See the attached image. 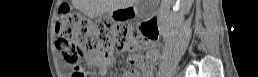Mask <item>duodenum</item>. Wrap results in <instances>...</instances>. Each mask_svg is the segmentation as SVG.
Returning a JSON list of instances; mask_svg holds the SVG:
<instances>
[{
	"label": "duodenum",
	"instance_id": "1",
	"mask_svg": "<svg viewBox=\"0 0 258 77\" xmlns=\"http://www.w3.org/2000/svg\"><path fill=\"white\" fill-rule=\"evenodd\" d=\"M146 27L156 29V33H155V35H154V36H156V34H157V25L155 24L154 21H151V22H149V23H146Z\"/></svg>",
	"mask_w": 258,
	"mask_h": 77
}]
</instances>
